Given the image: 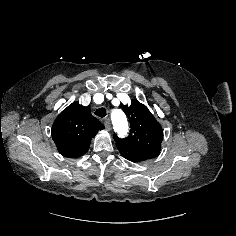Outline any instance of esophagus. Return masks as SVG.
Wrapping results in <instances>:
<instances>
[{"instance_id": "esophagus-1", "label": "esophagus", "mask_w": 236, "mask_h": 236, "mask_svg": "<svg viewBox=\"0 0 236 236\" xmlns=\"http://www.w3.org/2000/svg\"><path fill=\"white\" fill-rule=\"evenodd\" d=\"M104 125H105L107 130L111 129V123H110V119L109 118H105L104 119Z\"/></svg>"}]
</instances>
